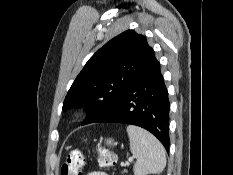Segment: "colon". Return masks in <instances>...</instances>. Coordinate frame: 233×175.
Wrapping results in <instances>:
<instances>
[{
  "label": "colon",
  "instance_id": "obj_1",
  "mask_svg": "<svg viewBox=\"0 0 233 175\" xmlns=\"http://www.w3.org/2000/svg\"><path fill=\"white\" fill-rule=\"evenodd\" d=\"M99 165L104 168H111L116 163V158L113 153L103 146L98 147ZM85 165V159L80 149L71 150L65 162L61 166L60 175H82V170Z\"/></svg>",
  "mask_w": 233,
  "mask_h": 175
}]
</instances>
